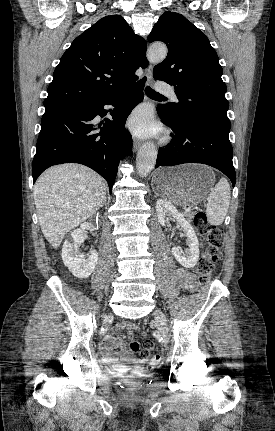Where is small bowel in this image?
I'll list each match as a JSON object with an SVG mask.
<instances>
[{
    "instance_id": "1",
    "label": "small bowel",
    "mask_w": 275,
    "mask_h": 431,
    "mask_svg": "<svg viewBox=\"0 0 275 431\" xmlns=\"http://www.w3.org/2000/svg\"><path fill=\"white\" fill-rule=\"evenodd\" d=\"M178 275L180 279V284L184 289H194V277L189 270L181 268L178 271ZM136 328L137 327L135 325L129 322H123L117 326V332H120L122 330H132ZM114 347H119L121 349V355H119L116 351L113 350ZM101 349L105 359L114 365H118L123 362H128L132 360L131 355L126 350L123 340L118 333L114 335H107L102 341Z\"/></svg>"
}]
</instances>
